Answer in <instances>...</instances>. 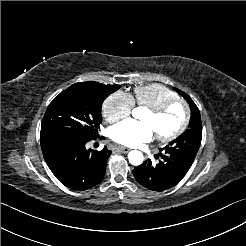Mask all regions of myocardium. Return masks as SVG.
I'll use <instances>...</instances> for the list:
<instances>
[{
    "mask_svg": "<svg viewBox=\"0 0 246 246\" xmlns=\"http://www.w3.org/2000/svg\"><path fill=\"white\" fill-rule=\"evenodd\" d=\"M176 105L182 108L183 111L182 120L180 124L177 126V128L171 133L166 135H156L157 140L160 142L166 143V142L173 141L185 131L190 119V110L188 104L180 98H174L165 101L156 107L146 109L153 117H159L163 115L166 111H168L171 107Z\"/></svg>",
    "mask_w": 246,
    "mask_h": 246,
    "instance_id": "1",
    "label": "myocardium"
}]
</instances>
